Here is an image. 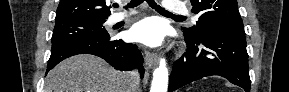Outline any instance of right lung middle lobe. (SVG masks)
I'll list each match as a JSON object with an SVG mask.
<instances>
[{"label": "right lung middle lobe", "instance_id": "1", "mask_svg": "<svg viewBox=\"0 0 289 92\" xmlns=\"http://www.w3.org/2000/svg\"><path fill=\"white\" fill-rule=\"evenodd\" d=\"M105 20L73 19L55 23L52 35V49L81 41H98L110 38L103 26Z\"/></svg>", "mask_w": 289, "mask_h": 92}]
</instances>
